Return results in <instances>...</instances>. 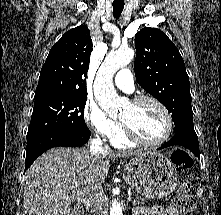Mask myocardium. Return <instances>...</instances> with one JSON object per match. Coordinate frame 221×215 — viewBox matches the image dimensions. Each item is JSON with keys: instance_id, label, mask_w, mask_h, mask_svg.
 Masks as SVG:
<instances>
[{"instance_id": "1", "label": "myocardium", "mask_w": 221, "mask_h": 215, "mask_svg": "<svg viewBox=\"0 0 221 215\" xmlns=\"http://www.w3.org/2000/svg\"><path fill=\"white\" fill-rule=\"evenodd\" d=\"M144 101H150L154 103L155 105H157L165 117L166 129H165L163 136L159 140L154 141V142L146 141L142 139L140 136H138L127 122L123 120H121L120 122H121L125 136L132 143H135L137 145L144 146V147H149V148L158 147L164 144L169 139L173 131V118L169 109L166 107V105L162 101H160L158 98L152 95H139L132 99L131 104L135 105Z\"/></svg>"}]
</instances>
